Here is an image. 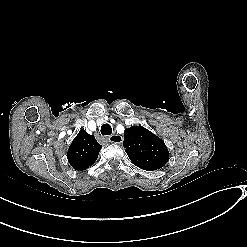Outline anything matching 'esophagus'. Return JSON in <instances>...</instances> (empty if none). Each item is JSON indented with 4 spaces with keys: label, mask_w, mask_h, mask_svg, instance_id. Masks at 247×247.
<instances>
[{
    "label": "esophagus",
    "mask_w": 247,
    "mask_h": 247,
    "mask_svg": "<svg viewBox=\"0 0 247 247\" xmlns=\"http://www.w3.org/2000/svg\"><path fill=\"white\" fill-rule=\"evenodd\" d=\"M108 140L111 143L120 144L123 142V137L121 135H118V134H113V135L108 137Z\"/></svg>",
    "instance_id": "obj_1"
}]
</instances>
